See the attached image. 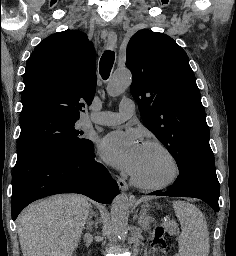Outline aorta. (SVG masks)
<instances>
[{
    "mask_svg": "<svg viewBox=\"0 0 236 256\" xmlns=\"http://www.w3.org/2000/svg\"><path fill=\"white\" fill-rule=\"evenodd\" d=\"M132 76L128 69L117 70L111 77L107 93L116 97L122 94L131 84ZM130 198L122 193L118 195L111 208V223L115 234L122 240H125L128 233V217H129Z\"/></svg>",
    "mask_w": 236,
    "mask_h": 256,
    "instance_id": "obj_1",
    "label": "aorta"
}]
</instances>
